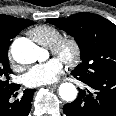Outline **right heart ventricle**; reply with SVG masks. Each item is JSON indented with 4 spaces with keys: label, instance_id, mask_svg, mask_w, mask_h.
<instances>
[{
    "label": "right heart ventricle",
    "instance_id": "e07e8e85",
    "mask_svg": "<svg viewBox=\"0 0 116 116\" xmlns=\"http://www.w3.org/2000/svg\"><path fill=\"white\" fill-rule=\"evenodd\" d=\"M32 39L43 46L51 47L56 41L62 38L59 29L51 25H38L29 31Z\"/></svg>",
    "mask_w": 116,
    "mask_h": 116
}]
</instances>
